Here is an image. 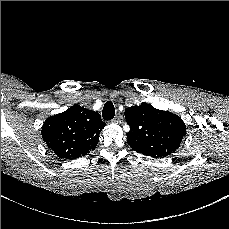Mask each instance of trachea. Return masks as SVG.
<instances>
[{
    "instance_id": "3493384b",
    "label": "trachea",
    "mask_w": 229,
    "mask_h": 229,
    "mask_svg": "<svg viewBox=\"0 0 229 229\" xmlns=\"http://www.w3.org/2000/svg\"><path fill=\"white\" fill-rule=\"evenodd\" d=\"M102 116L104 120H112L115 116V108L111 101L104 104Z\"/></svg>"
}]
</instances>
